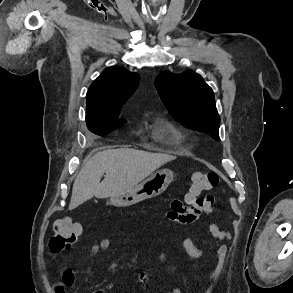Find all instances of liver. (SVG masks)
I'll return each instance as SVG.
<instances>
[{
  "label": "liver",
  "instance_id": "liver-1",
  "mask_svg": "<svg viewBox=\"0 0 293 293\" xmlns=\"http://www.w3.org/2000/svg\"><path fill=\"white\" fill-rule=\"evenodd\" d=\"M175 156L128 148L109 149L88 158L76 177L69 209L72 210L93 196L108 198L134 188ZM104 180L100 182L102 176Z\"/></svg>",
  "mask_w": 293,
  "mask_h": 293
}]
</instances>
